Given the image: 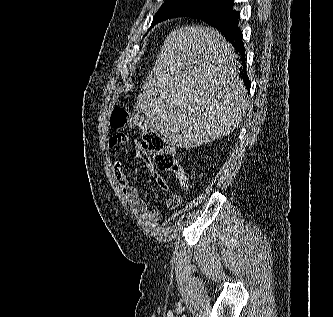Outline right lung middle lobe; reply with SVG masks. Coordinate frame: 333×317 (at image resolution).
<instances>
[{"label":"right lung middle lobe","instance_id":"dd1d6c3e","mask_svg":"<svg viewBox=\"0 0 333 317\" xmlns=\"http://www.w3.org/2000/svg\"><path fill=\"white\" fill-rule=\"evenodd\" d=\"M228 4V0H165L155 14L151 27L166 19L193 17L218 10Z\"/></svg>","mask_w":333,"mask_h":317}]
</instances>
